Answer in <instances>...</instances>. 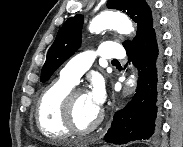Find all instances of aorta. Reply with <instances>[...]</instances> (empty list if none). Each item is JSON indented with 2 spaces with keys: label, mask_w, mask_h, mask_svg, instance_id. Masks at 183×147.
I'll return each mask as SVG.
<instances>
[{
  "label": "aorta",
  "mask_w": 183,
  "mask_h": 147,
  "mask_svg": "<svg viewBox=\"0 0 183 147\" xmlns=\"http://www.w3.org/2000/svg\"><path fill=\"white\" fill-rule=\"evenodd\" d=\"M89 31L91 33H99L105 29H113L121 34H130L134 31L132 22L129 18L119 12H102L92 19L89 24ZM135 83V76L127 81V85L133 86Z\"/></svg>",
  "instance_id": "obj_1"
}]
</instances>
